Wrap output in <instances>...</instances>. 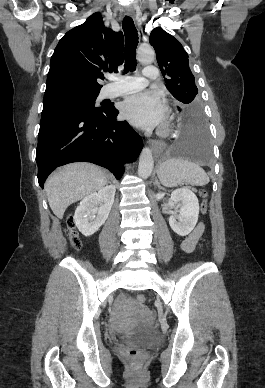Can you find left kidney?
<instances>
[{
	"instance_id": "1",
	"label": "left kidney",
	"mask_w": 265,
	"mask_h": 388,
	"mask_svg": "<svg viewBox=\"0 0 265 388\" xmlns=\"http://www.w3.org/2000/svg\"><path fill=\"white\" fill-rule=\"evenodd\" d=\"M164 194H156V200H161ZM172 204H180L179 214H171L168 218L169 226L178 236H188L198 222V198L189 188L174 190L171 194Z\"/></svg>"
}]
</instances>
